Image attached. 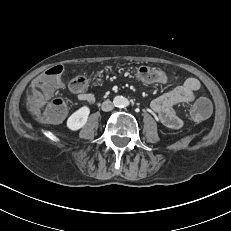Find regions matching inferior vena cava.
<instances>
[{"label": "inferior vena cava", "instance_id": "inferior-vena-cava-1", "mask_svg": "<svg viewBox=\"0 0 231 231\" xmlns=\"http://www.w3.org/2000/svg\"><path fill=\"white\" fill-rule=\"evenodd\" d=\"M101 108L103 111L107 112V111H111L114 108V105L111 101L106 100L102 103Z\"/></svg>", "mask_w": 231, "mask_h": 231}]
</instances>
